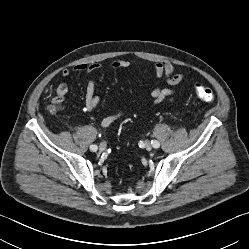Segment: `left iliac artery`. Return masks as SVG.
Instances as JSON below:
<instances>
[{
	"label": "left iliac artery",
	"instance_id": "44dca946",
	"mask_svg": "<svg viewBox=\"0 0 249 249\" xmlns=\"http://www.w3.org/2000/svg\"><path fill=\"white\" fill-rule=\"evenodd\" d=\"M151 144L154 148H159L160 147V143L157 140H152Z\"/></svg>",
	"mask_w": 249,
	"mask_h": 249
}]
</instances>
